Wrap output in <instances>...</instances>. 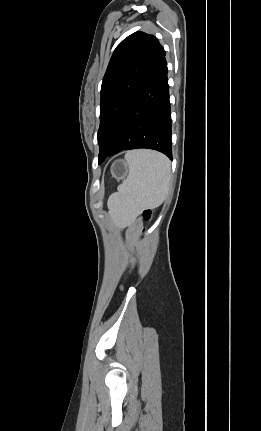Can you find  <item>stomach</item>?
<instances>
[{"label":"stomach","instance_id":"1","mask_svg":"<svg viewBox=\"0 0 261 431\" xmlns=\"http://www.w3.org/2000/svg\"><path fill=\"white\" fill-rule=\"evenodd\" d=\"M129 169L127 163L123 160H116L111 166L112 177L117 180H125L128 176Z\"/></svg>","mask_w":261,"mask_h":431}]
</instances>
